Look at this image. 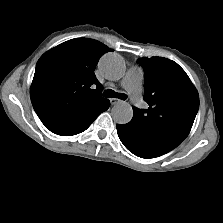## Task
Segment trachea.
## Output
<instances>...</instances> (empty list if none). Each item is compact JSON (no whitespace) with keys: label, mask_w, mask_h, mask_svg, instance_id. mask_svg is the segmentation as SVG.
I'll use <instances>...</instances> for the list:
<instances>
[{"label":"trachea","mask_w":223,"mask_h":223,"mask_svg":"<svg viewBox=\"0 0 223 223\" xmlns=\"http://www.w3.org/2000/svg\"><path fill=\"white\" fill-rule=\"evenodd\" d=\"M103 96L106 98H119L121 100H126L127 99V95L124 93H116L115 91H113L112 89H107L104 91Z\"/></svg>","instance_id":"trachea-1"}]
</instances>
